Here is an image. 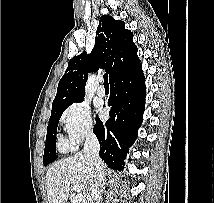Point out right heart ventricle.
<instances>
[{
	"instance_id": "right-heart-ventricle-1",
	"label": "right heart ventricle",
	"mask_w": 214,
	"mask_h": 203,
	"mask_svg": "<svg viewBox=\"0 0 214 203\" xmlns=\"http://www.w3.org/2000/svg\"><path fill=\"white\" fill-rule=\"evenodd\" d=\"M59 148L61 149V150H67V149H69L70 148V143L69 142H67V141H65V140H63V139H60L59 140Z\"/></svg>"
}]
</instances>
